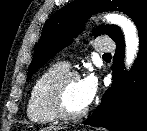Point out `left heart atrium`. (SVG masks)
Listing matches in <instances>:
<instances>
[{
  "label": "left heart atrium",
  "instance_id": "1",
  "mask_svg": "<svg viewBox=\"0 0 147 131\" xmlns=\"http://www.w3.org/2000/svg\"><path fill=\"white\" fill-rule=\"evenodd\" d=\"M80 89L84 104L88 106L95 98L98 91V79L93 73H89L80 79Z\"/></svg>",
  "mask_w": 147,
  "mask_h": 131
}]
</instances>
